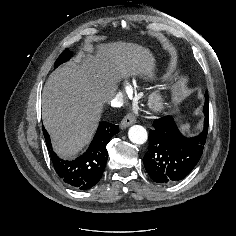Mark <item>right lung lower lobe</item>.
<instances>
[{
	"instance_id": "obj_1",
	"label": "right lung lower lobe",
	"mask_w": 236,
	"mask_h": 236,
	"mask_svg": "<svg viewBox=\"0 0 236 236\" xmlns=\"http://www.w3.org/2000/svg\"><path fill=\"white\" fill-rule=\"evenodd\" d=\"M118 131L117 125L100 122L87 151L75 160L68 161L60 159L54 153L50 137L43 128L46 145L56 173L65 183L80 190L93 187L101 179L108 159L106 145Z\"/></svg>"
}]
</instances>
